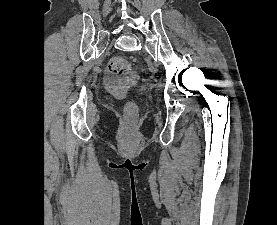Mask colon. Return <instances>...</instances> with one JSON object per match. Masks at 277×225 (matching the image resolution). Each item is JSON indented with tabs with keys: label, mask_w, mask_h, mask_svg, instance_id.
Returning a JSON list of instances; mask_svg holds the SVG:
<instances>
[{
	"label": "colon",
	"mask_w": 277,
	"mask_h": 225,
	"mask_svg": "<svg viewBox=\"0 0 277 225\" xmlns=\"http://www.w3.org/2000/svg\"><path fill=\"white\" fill-rule=\"evenodd\" d=\"M110 72L125 75L127 79L133 82L136 79V72L131 68L128 59L124 55H115L108 62ZM125 120L132 125L138 115V107L134 102H127L123 108Z\"/></svg>",
	"instance_id": "5ec220e1"
}]
</instances>
